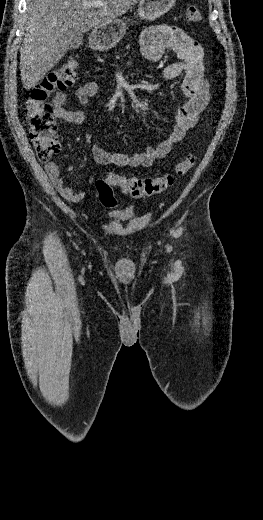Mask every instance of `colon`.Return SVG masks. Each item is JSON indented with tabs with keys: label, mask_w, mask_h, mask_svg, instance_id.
<instances>
[{
	"label": "colon",
	"mask_w": 263,
	"mask_h": 520,
	"mask_svg": "<svg viewBox=\"0 0 263 520\" xmlns=\"http://www.w3.org/2000/svg\"><path fill=\"white\" fill-rule=\"evenodd\" d=\"M185 20L188 23H198L201 20L199 8L187 7ZM76 79L77 62L69 60L51 71L35 86L27 100L26 118L29 136L41 162H48L61 148L56 134L54 108L47 100L56 90H65L72 86ZM195 164L196 157L188 155L175 166L171 173L157 177H128L110 173L105 179L98 180L95 184L99 201L106 208H114L117 204L114 188L137 199L160 194L171 187L177 177L187 174Z\"/></svg>",
	"instance_id": "5ec220e1"
}]
</instances>
